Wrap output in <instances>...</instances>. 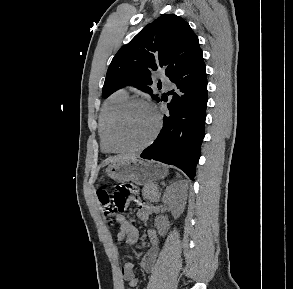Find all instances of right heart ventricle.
Masks as SVG:
<instances>
[{
	"label": "right heart ventricle",
	"instance_id": "1",
	"mask_svg": "<svg viewBox=\"0 0 293 289\" xmlns=\"http://www.w3.org/2000/svg\"><path fill=\"white\" fill-rule=\"evenodd\" d=\"M129 98L127 91L118 90L113 93L109 99L104 104L100 116H99V124H98V134L100 139L101 148L106 153H112L109 148L107 142V133L110 121L117 111V109L125 103Z\"/></svg>",
	"mask_w": 293,
	"mask_h": 289
}]
</instances>
